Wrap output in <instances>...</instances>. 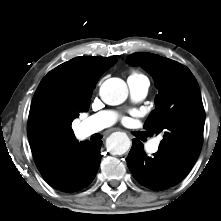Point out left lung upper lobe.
<instances>
[{"label": "left lung upper lobe", "mask_w": 221, "mask_h": 221, "mask_svg": "<svg viewBox=\"0 0 221 221\" xmlns=\"http://www.w3.org/2000/svg\"><path fill=\"white\" fill-rule=\"evenodd\" d=\"M132 65H142L154 77L159 93L156 109L145 121L150 135L161 134L158 151L186 175L202 147L205 112L199 85L184 65L152 53H134Z\"/></svg>", "instance_id": "left-lung-upper-lobe-1"}]
</instances>
